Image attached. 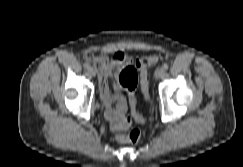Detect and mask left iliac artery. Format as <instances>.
I'll return each instance as SVG.
<instances>
[{
    "label": "left iliac artery",
    "instance_id": "1",
    "mask_svg": "<svg viewBox=\"0 0 243 167\" xmlns=\"http://www.w3.org/2000/svg\"><path fill=\"white\" fill-rule=\"evenodd\" d=\"M168 68H169V65H168V64H164V65H163V69H164V70H168Z\"/></svg>",
    "mask_w": 243,
    "mask_h": 167
}]
</instances>
